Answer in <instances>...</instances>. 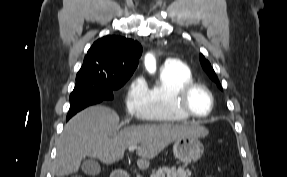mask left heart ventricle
Listing matches in <instances>:
<instances>
[{
  "instance_id": "1",
  "label": "left heart ventricle",
  "mask_w": 287,
  "mask_h": 177,
  "mask_svg": "<svg viewBox=\"0 0 287 177\" xmlns=\"http://www.w3.org/2000/svg\"><path fill=\"white\" fill-rule=\"evenodd\" d=\"M189 107L191 110L200 116H204L210 109V98L208 94L202 89H196L189 97Z\"/></svg>"
}]
</instances>
